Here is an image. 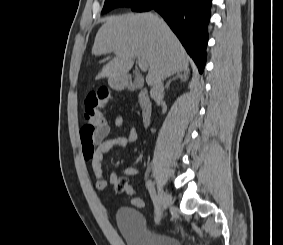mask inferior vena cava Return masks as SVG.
I'll return each mask as SVG.
<instances>
[{
	"label": "inferior vena cava",
	"instance_id": "inferior-vena-cava-1",
	"mask_svg": "<svg viewBox=\"0 0 283 245\" xmlns=\"http://www.w3.org/2000/svg\"><path fill=\"white\" fill-rule=\"evenodd\" d=\"M163 80H164V77L159 76L156 83L153 85L151 92H150L152 98L163 95V92H164Z\"/></svg>",
	"mask_w": 283,
	"mask_h": 245
}]
</instances>
